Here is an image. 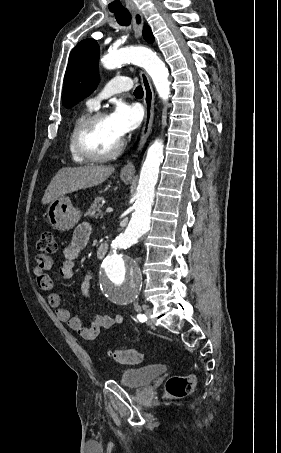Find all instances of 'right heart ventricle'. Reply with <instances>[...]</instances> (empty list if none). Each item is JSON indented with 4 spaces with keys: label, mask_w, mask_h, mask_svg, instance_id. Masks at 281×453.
I'll return each instance as SVG.
<instances>
[{
    "label": "right heart ventricle",
    "mask_w": 281,
    "mask_h": 453,
    "mask_svg": "<svg viewBox=\"0 0 281 453\" xmlns=\"http://www.w3.org/2000/svg\"><path fill=\"white\" fill-rule=\"evenodd\" d=\"M93 108L89 107L85 112L80 114L75 121L73 122L69 135H68V143H69V150L72 156V159L77 163H83L86 161L78 152L76 147V136L77 132L82 125V123L88 119L93 114Z\"/></svg>",
    "instance_id": "e07e8e85"
}]
</instances>
